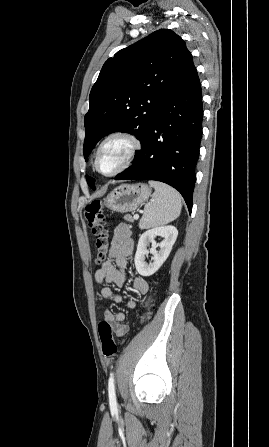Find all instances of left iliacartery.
<instances>
[{
  "label": "left iliac artery",
  "mask_w": 269,
  "mask_h": 447,
  "mask_svg": "<svg viewBox=\"0 0 269 447\" xmlns=\"http://www.w3.org/2000/svg\"><path fill=\"white\" fill-rule=\"evenodd\" d=\"M108 393H109V403H110V406L111 407H117L113 374H111V376L109 378Z\"/></svg>",
  "instance_id": "44dca946"
}]
</instances>
